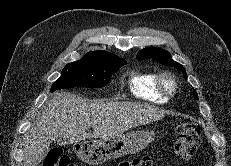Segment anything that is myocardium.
Here are the masks:
<instances>
[{"label":"myocardium","instance_id":"1","mask_svg":"<svg viewBox=\"0 0 231 166\" xmlns=\"http://www.w3.org/2000/svg\"><path fill=\"white\" fill-rule=\"evenodd\" d=\"M178 88L176 78L170 72H162L157 75L156 89L166 98H171L175 95Z\"/></svg>","mask_w":231,"mask_h":166}]
</instances>
